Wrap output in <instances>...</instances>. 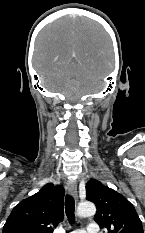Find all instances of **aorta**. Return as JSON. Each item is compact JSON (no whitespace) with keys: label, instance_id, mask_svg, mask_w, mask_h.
<instances>
[{"label":"aorta","instance_id":"aorta-1","mask_svg":"<svg viewBox=\"0 0 145 233\" xmlns=\"http://www.w3.org/2000/svg\"><path fill=\"white\" fill-rule=\"evenodd\" d=\"M96 213V207L91 202H84L79 204L77 208V215L80 217H90Z\"/></svg>","mask_w":145,"mask_h":233}]
</instances>
